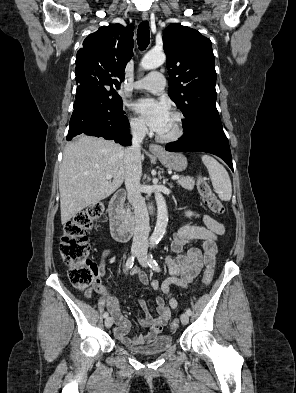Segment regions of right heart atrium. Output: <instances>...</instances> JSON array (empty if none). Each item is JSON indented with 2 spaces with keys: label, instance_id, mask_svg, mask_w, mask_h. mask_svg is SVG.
Listing matches in <instances>:
<instances>
[{
  "label": "right heart atrium",
  "instance_id": "right-heart-atrium-1",
  "mask_svg": "<svg viewBox=\"0 0 296 393\" xmlns=\"http://www.w3.org/2000/svg\"><path fill=\"white\" fill-rule=\"evenodd\" d=\"M129 125L131 131L136 135H144L147 131L144 122L140 118L131 117L129 119Z\"/></svg>",
  "mask_w": 296,
  "mask_h": 393
}]
</instances>
